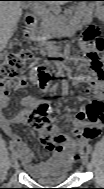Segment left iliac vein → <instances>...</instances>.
Here are the masks:
<instances>
[{
    "label": "left iliac vein",
    "mask_w": 104,
    "mask_h": 189,
    "mask_svg": "<svg viewBox=\"0 0 104 189\" xmlns=\"http://www.w3.org/2000/svg\"><path fill=\"white\" fill-rule=\"evenodd\" d=\"M88 159H89L88 154L85 153V154L82 156V159H81L82 164H83V165H87Z\"/></svg>",
    "instance_id": "left-iliac-vein-1"
}]
</instances>
